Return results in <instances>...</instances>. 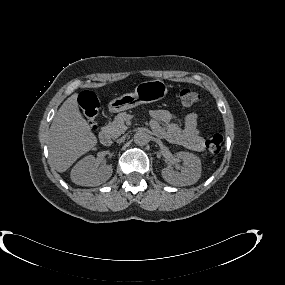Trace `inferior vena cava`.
<instances>
[{
	"mask_svg": "<svg viewBox=\"0 0 285 285\" xmlns=\"http://www.w3.org/2000/svg\"><path fill=\"white\" fill-rule=\"evenodd\" d=\"M128 141V136L126 134H121L118 138L119 143H126Z\"/></svg>",
	"mask_w": 285,
	"mask_h": 285,
	"instance_id": "1",
	"label": "inferior vena cava"
}]
</instances>
